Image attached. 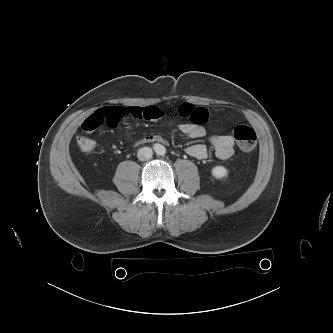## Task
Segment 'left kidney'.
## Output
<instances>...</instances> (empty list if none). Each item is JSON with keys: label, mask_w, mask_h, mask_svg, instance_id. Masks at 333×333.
<instances>
[{"label": "left kidney", "mask_w": 333, "mask_h": 333, "mask_svg": "<svg viewBox=\"0 0 333 333\" xmlns=\"http://www.w3.org/2000/svg\"><path fill=\"white\" fill-rule=\"evenodd\" d=\"M211 173L215 178H223L228 174L227 169L223 166H215Z\"/></svg>", "instance_id": "obj_1"}]
</instances>
